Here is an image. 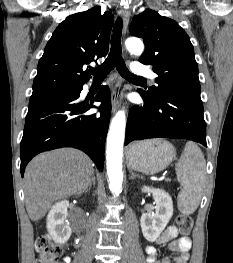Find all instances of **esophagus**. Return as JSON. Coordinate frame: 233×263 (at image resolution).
I'll list each match as a JSON object with an SVG mask.
<instances>
[{
	"label": "esophagus",
	"instance_id": "34e87169",
	"mask_svg": "<svg viewBox=\"0 0 233 263\" xmlns=\"http://www.w3.org/2000/svg\"><path fill=\"white\" fill-rule=\"evenodd\" d=\"M119 14L123 20V31L124 33H126V30L129 24L130 12L126 8H121L119 10ZM122 93H123L122 83L121 81H118L112 91V111L113 112H115L118 106L120 105V98L122 96Z\"/></svg>",
	"mask_w": 233,
	"mask_h": 263
}]
</instances>
